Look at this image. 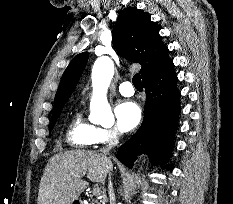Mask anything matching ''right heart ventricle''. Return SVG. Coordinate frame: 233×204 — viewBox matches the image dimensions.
<instances>
[{
    "instance_id": "right-heart-ventricle-1",
    "label": "right heart ventricle",
    "mask_w": 233,
    "mask_h": 204,
    "mask_svg": "<svg viewBox=\"0 0 233 204\" xmlns=\"http://www.w3.org/2000/svg\"><path fill=\"white\" fill-rule=\"evenodd\" d=\"M97 127L87 121L81 111L73 115L66 133L68 143L76 148H84L94 144Z\"/></svg>"
}]
</instances>
